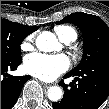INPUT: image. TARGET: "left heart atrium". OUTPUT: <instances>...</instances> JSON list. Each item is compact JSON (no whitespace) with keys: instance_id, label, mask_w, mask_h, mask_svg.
<instances>
[{"instance_id":"obj_1","label":"left heart atrium","mask_w":109,"mask_h":109,"mask_svg":"<svg viewBox=\"0 0 109 109\" xmlns=\"http://www.w3.org/2000/svg\"><path fill=\"white\" fill-rule=\"evenodd\" d=\"M70 60L66 55L33 53L25 57L24 69L27 73L44 81H52L69 70Z\"/></svg>"}]
</instances>
